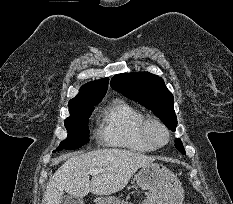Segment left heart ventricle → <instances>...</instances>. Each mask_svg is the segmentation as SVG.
Returning <instances> with one entry per match:
<instances>
[{
    "label": "left heart ventricle",
    "instance_id": "obj_1",
    "mask_svg": "<svg viewBox=\"0 0 233 204\" xmlns=\"http://www.w3.org/2000/svg\"><path fill=\"white\" fill-rule=\"evenodd\" d=\"M150 135L152 139L158 144H161L165 141L164 131L156 125H152L150 127Z\"/></svg>",
    "mask_w": 233,
    "mask_h": 204
}]
</instances>
